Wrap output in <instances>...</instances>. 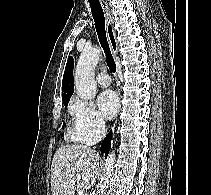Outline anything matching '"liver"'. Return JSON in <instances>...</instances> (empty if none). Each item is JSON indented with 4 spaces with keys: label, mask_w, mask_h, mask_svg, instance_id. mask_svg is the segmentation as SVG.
Instances as JSON below:
<instances>
[{
    "label": "liver",
    "mask_w": 211,
    "mask_h": 195,
    "mask_svg": "<svg viewBox=\"0 0 211 195\" xmlns=\"http://www.w3.org/2000/svg\"><path fill=\"white\" fill-rule=\"evenodd\" d=\"M99 154L93 149L76 144L60 146L54 154L51 165L52 195H74L77 175L78 187L88 190L98 175Z\"/></svg>",
    "instance_id": "1"
}]
</instances>
